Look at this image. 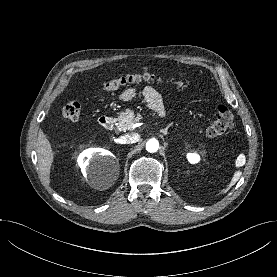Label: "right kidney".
Segmentation results:
<instances>
[{
    "instance_id": "1",
    "label": "right kidney",
    "mask_w": 277,
    "mask_h": 277,
    "mask_svg": "<svg viewBox=\"0 0 277 277\" xmlns=\"http://www.w3.org/2000/svg\"><path fill=\"white\" fill-rule=\"evenodd\" d=\"M113 155L106 150L99 148H92L84 151L78 157V164L85 176L92 177L94 173V165L97 162L112 161Z\"/></svg>"
}]
</instances>
